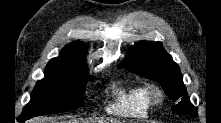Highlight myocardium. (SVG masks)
Returning a JSON list of instances; mask_svg holds the SVG:
<instances>
[{
  "instance_id": "f54148a6",
  "label": "myocardium",
  "mask_w": 221,
  "mask_h": 123,
  "mask_svg": "<svg viewBox=\"0 0 221 123\" xmlns=\"http://www.w3.org/2000/svg\"><path fill=\"white\" fill-rule=\"evenodd\" d=\"M145 92L150 104L159 105L164 101L165 93L163 89L157 84H148L145 87Z\"/></svg>"
}]
</instances>
